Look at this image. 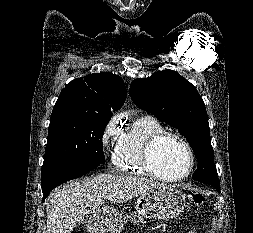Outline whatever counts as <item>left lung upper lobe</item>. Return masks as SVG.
Returning <instances> with one entry per match:
<instances>
[{
  "label": "left lung upper lobe",
  "mask_w": 253,
  "mask_h": 233,
  "mask_svg": "<svg viewBox=\"0 0 253 233\" xmlns=\"http://www.w3.org/2000/svg\"><path fill=\"white\" fill-rule=\"evenodd\" d=\"M129 92L140 109L177 128L186 138L199 162L192 178L220 185L206 108L197 89L177 72L165 70L148 78L135 79Z\"/></svg>",
  "instance_id": "5c2ea615"
}]
</instances>
